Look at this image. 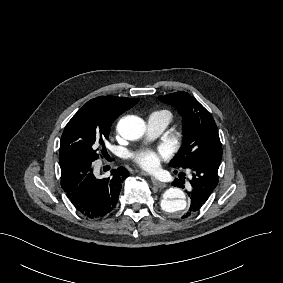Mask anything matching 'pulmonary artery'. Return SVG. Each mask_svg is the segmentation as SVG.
Instances as JSON below:
<instances>
[{"label": "pulmonary artery", "mask_w": 283, "mask_h": 283, "mask_svg": "<svg viewBox=\"0 0 283 283\" xmlns=\"http://www.w3.org/2000/svg\"><path fill=\"white\" fill-rule=\"evenodd\" d=\"M169 123V117L166 115L152 113L147 119V132L151 137L161 134Z\"/></svg>", "instance_id": "e3ab8cb5"}]
</instances>
